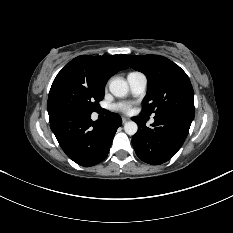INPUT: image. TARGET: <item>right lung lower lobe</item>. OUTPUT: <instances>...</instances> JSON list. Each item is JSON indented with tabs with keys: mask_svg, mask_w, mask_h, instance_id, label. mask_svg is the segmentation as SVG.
I'll use <instances>...</instances> for the list:
<instances>
[{
	"mask_svg": "<svg viewBox=\"0 0 233 233\" xmlns=\"http://www.w3.org/2000/svg\"><path fill=\"white\" fill-rule=\"evenodd\" d=\"M50 127L66 155L81 166L89 167L108 155L113 137L121 125L118 114L108 112L105 120L92 121L91 114L76 110L48 112Z\"/></svg>",
	"mask_w": 233,
	"mask_h": 233,
	"instance_id": "right-lung-lower-lobe-1",
	"label": "right lung lower lobe"
}]
</instances>
